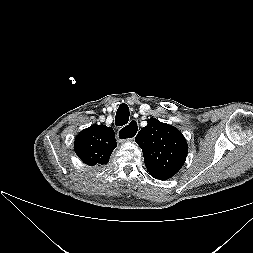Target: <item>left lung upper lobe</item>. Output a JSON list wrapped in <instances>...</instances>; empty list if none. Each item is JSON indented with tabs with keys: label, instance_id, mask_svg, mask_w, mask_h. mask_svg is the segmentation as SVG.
<instances>
[{
	"label": "left lung upper lobe",
	"instance_id": "left-lung-upper-lobe-1",
	"mask_svg": "<svg viewBox=\"0 0 253 253\" xmlns=\"http://www.w3.org/2000/svg\"><path fill=\"white\" fill-rule=\"evenodd\" d=\"M135 141L141 147L145 165L154 178H171L186 160L188 146L183 134L155 118L148 120Z\"/></svg>",
	"mask_w": 253,
	"mask_h": 253
}]
</instances>
